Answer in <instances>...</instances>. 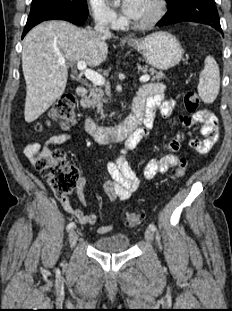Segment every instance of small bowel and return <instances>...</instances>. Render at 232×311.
Returning a JSON list of instances; mask_svg holds the SVG:
<instances>
[{
  "mask_svg": "<svg viewBox=\"0 0 232 311\" xmlns=\"http://www.w3.org/2000/svg\"><path fill=\"white\" fill-rule=\"evenodd\" d=\"M137 97L145 103L144 126L137 129L126 141L124 147L120 150L119 156L115 161L107 164L109 179L104 182L103 188L110 201L127 200L135 192L140 180L131 165L127 162L126 156L135 150L149 135L153 128L155 115L157 112L169 119L173 116L176 109V102L173 99L166 98L165 87L159 83H150L142 86ZM182 129L166 145V154L159 159L150 160L144 170L143 175L146 179H152L158 174H165L170 169L177 166L179 157L175 152L179 149L183 141L189 144L199 154H207L215 145L218 139V120L216 116L207 111L200 110L192 116L180 114L177 116ZM191 128H197L203 138H190L187 131ZM73 138L71 134L64 133L53 136L45 144L38 142L27 145L24 149V155L34 164V157L38 154H47L52 147L62 145ZM85 178L82 177L77 187V196L83 207L86 206L84 194ZM58 201L64 210L74 217L82 225H95L98 221L96 214L85 213L82 209L75 207L69 197L58 196ZM111 224L103 225L98 228L99 234H106L112 230Z\"/></svg>",
  "mask_w": 232,
  "mask_h": 311,
  "instance_id": "1",
  "label": "small bowel"
}]
</instances>
